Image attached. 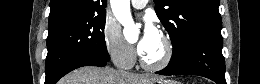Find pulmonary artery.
<instances>
[{
    "label": "pulmonary artery",
    "instance_id": "obj_1",
    "mask_svg": "<svg viewBox=\"0 0 260 84\" xmlns=\"http://www.w3.org/2000/svg\"><path fill=\"white\" fill-rule=\"evenodd\" d=\"M131 2H132L133 7L140 9V8H143L146 5L147 1H145V0H132Z\"/></svg>",
    "mask_w": 260,
    "mask_h": 84
}]
</instances>
